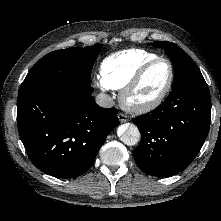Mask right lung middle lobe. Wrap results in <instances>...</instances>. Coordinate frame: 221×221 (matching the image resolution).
Wrapping results in <instances>:
<instances>
[{"label": "right lung middle lobe", "mask_w": 221, "mask_h": 221, "mask_svg": "<svg viewBox=\"0 0 221 221\" xmlns=\"http://www.w3.org/2000/svg\"><path fill=\"white\" fill-rule=\"evenodd\" d=\"M101 44L57 50L42 57L29 71L19 93L51 86L91 84V71Z\"/></svg>", "instance_id": "dd1d6c3e"}]
</instances>
